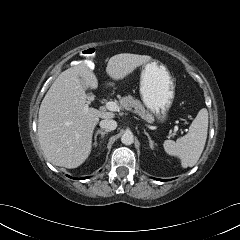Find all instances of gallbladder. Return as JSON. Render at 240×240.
I'll return each mask as SVG.
<instances>
[{
    "label": "gallbladder",
    "mask_w": 240,
    "mask_h": 240,
    "mask_svg": "<svg viewBox=\"0 0 240 240\" xmlns=\"http://www.w3.org/2000/svg\"><path fill=\"white\" fill-rule=\"evenodd\" d=\"M79 79H80V83H81V85H82L84 88H88V87L86 86V84H85L84 79H83L82 77H80ZM88 97H89V98H91V97L93 98V95L90 94Z\"/></svg>",
    "instance_id": "bac80fb5"
}]
</instances>
